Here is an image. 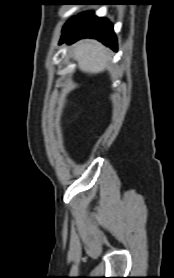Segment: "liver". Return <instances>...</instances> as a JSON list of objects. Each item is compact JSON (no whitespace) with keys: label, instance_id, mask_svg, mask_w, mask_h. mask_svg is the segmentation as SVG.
<instances>
[{"label":"liver","instance_id":"6515ba94","mask_svg":"<svg viewBox=\"0 0 174 278\" xmlns=\"http://www.w3.org/2000/svg\"><path fill=\"white\" fill-rule=\"evenodd\" d=\"M73 57L78 61L79 69L90 74L104 71L109 61L105 47L92 40L78 42L74 46Z\"/></svg>","mask_w":174,"mask_h":278}]
</instances>
